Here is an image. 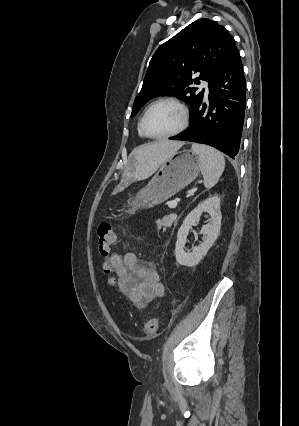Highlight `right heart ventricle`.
<instances>
[{"mask_svg":"<svg viewBox=\"0 0 299 426\" xmlns=\"http://www.w3.org/2000/svg\"><path fill=\"white\" fill-rule=\"evenodd\" d=\"M138 134H139V136L144 137V135L142 134V132L140 130V125L138 126Z\"/></svg>","mask_w":299,"mask_h":426,"instance_id":"obj_1","label":"right heart ventricle"}]
</instances>
